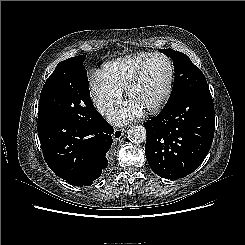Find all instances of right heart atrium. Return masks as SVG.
Returning a JSON list of instances; mask_svg holds the SVG:
<instances>
[{
    "label": "right heart atrium",
    "instance_id": "1",
    "mask_svg": "<svg viewBox=\"0 0 245 245\" xmlns=\"http://www.w3.org/2000/svg\"><path fill=\"white\" fill-rule=\"evenodd\" d=\"M90 87L97 109L103 114L122 97V90L111 84L100 71L91 74Z\"/></svg>",
    "mask_w": 245,
    "mask_h": 245
}]
</instances>
